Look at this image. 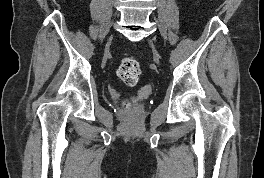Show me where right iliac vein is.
<instances>
[{
  "label": "right iliac vein",
  "mask_w": 264,
  "mask_h": 178,
  "mask_svg": "<svg viewBox=\"0 0 264 178\" xmlns=\"http://www.w3.org/2000/svg\"><path fill=\"white\" fill-rule=\"evenodd\" d=\"M111 38L109 39L108 43H107V46H106V51L108 50L109 46H110V43H111Z\"/></svg>",
  "instance_id": "right-iliac-vein-1"
}]
</instances>
